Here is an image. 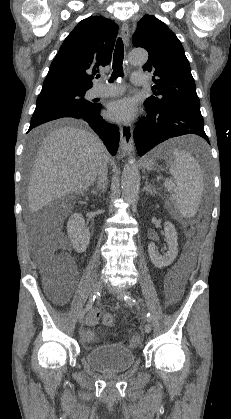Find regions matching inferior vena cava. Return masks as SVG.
Instances as JSON below:
<instances>
[{
	"mask_svg": "<svg viewBox=\"0 0 231 419\" xmlns=\"http://www.w3.org/2000/svg\"><path fill=\"white\" fill-rule=\"evenodd\" d=\"M98 186L104 190L107 185V165H102L97 174Z\"/></svg>",
	"mask_w": 231,
	"mask_h": 419,
	"instance_id": "1",
	"label": "inferior vena cava"
}]
</instances>
